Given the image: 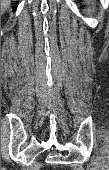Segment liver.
<instances>
[{
  "mask_svg": "<svg viewBox=\"0 0 109 170\" xmlns=\"http://www.w3.org/2000/svg\"><path fill=\"white\" fill-rule=\"evenodd\" d=\"M2 4V12H4L6 9H7V7L10 5V3H11V0H2V2H1Z\"/></svg>",
  "mask_w": 109,
  "mask_h": 170,
  "instance_id": "1",
  "label": "liver"
}]
</instances>
